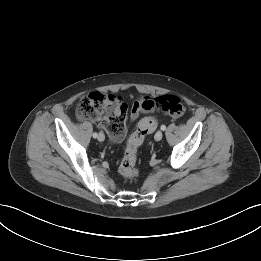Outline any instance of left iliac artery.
Wrapping results in <instances>:
<instances>
[{"instance_id":"44dca946","label":"left iliac artery","mask_w":261,"mask_h":261,"mask_svg":"<svg viewBox=\"0 0 261 261\" xmlns=\"http://www.w3.org/2000/svg\"><path fill=\"white\" fill-rule=\"evenodd\" d=\"M161 130H163V131L166 130V126H165V125H162V126H161Z\"/></svg>"}]
</instances>
